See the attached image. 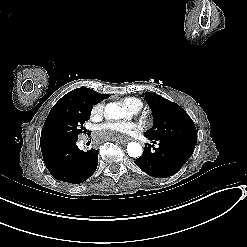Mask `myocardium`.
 <instances>
[{
    "label": "myocardium",
    "instance_id": "myocardium-1",
    "mask_svg": "<svg viewBox=\"0 0 247 247\" xmlns=\"http://www.w3.org/2000/svg\"><path fill=\"white\" fill-rule=\"evenodd\" d=\"M150 123H151V116L143 114L141 118V124L146 127L149 126Z\"/></svg>",
    "mask_w": 247,
    "mask_h": 247
}]
</instances>
